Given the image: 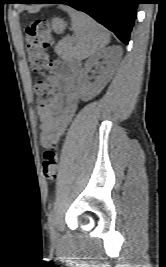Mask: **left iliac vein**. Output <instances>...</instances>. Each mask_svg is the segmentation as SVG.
<instances>
[{"mask_svg":"<svg viewBox=\"0 0 166 267\" xmlns=\"http://www.w3.org/2000/svg\"><path fill=\"white\" fill-rule=\"evenodd\" d=\"M50 238L52 241H57L58 239V232L57 229L55 227H52L51 231H50Z\"/></svg>","mask_w":166,"mask_h":267,"instance_id":"left-iliac-vein-1","label":"left iliac vein"}]
</instances>
